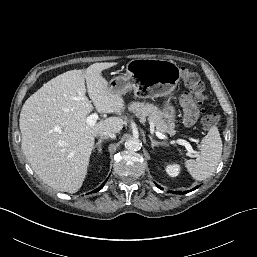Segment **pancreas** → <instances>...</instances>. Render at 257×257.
<instances>
[{"label":"pancreas","instance_id":"cf45deb5","mask_svg":"<svg viewBox=\"0 0 257 257\" xmlns=\"http://www.w3.org/2000/svg\"><path fill=\"white\" fill-rule=\"evenodd\" d=\"M129 110L140 119L148 117L150 125L155 127L157 131L170 135L174 134V122L167 120L163 112L153 104L133 102L129 105Z\"/></svg>","mask_w":257,"mask_h":257}]
</instances>
